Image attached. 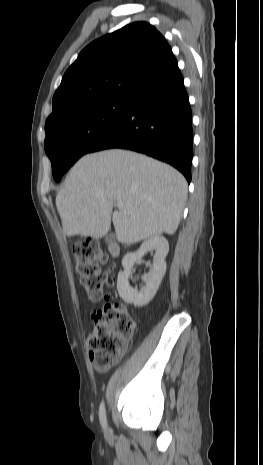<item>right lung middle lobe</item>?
Wrapping results in <instances>:
<instances>
[{"instance_id": "dd1d6c3e", "label": "right lung middle lobe", "mask_w": 263, "mask_h": 465, "mask_svg": "<svg viewBox=\"0 0 263 465\" xmlns=\"http://www.w3.org/2000/svg\"><path fill=\"white\" fill-rule=\"evenodd\" d=\"M130 101L131 98L97 100L46 122L44 147L56 181L124 118Z\"/></svg>"}]
</instances>
